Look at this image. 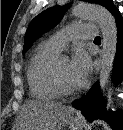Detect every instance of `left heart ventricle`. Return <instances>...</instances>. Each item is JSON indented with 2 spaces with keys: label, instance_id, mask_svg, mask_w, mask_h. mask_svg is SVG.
Returning <instances> with one entry per match:
<instances>
[{
  "label": "left heart ventricle",
  "instance_id": "obj_1",
  "mask_svg": "<svg viewBox=\"0 0 123 130\" xmlns=\"http://www.w3.org/2000/svg\"><path fill=\"white\" fill-rule=\"evenodd\" d=\"M56 68L60 79L67 87L76 88L79 86L70 74L69 62L67 60L59 61L56 64Z\"/></svg>",
  "mask_w": 123,
  "mask_h": 130
}]
</instances>
